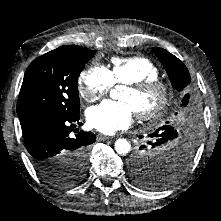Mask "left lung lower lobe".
<instances>
[{
	"label": "left lung lower lobe",
	"instance_id": "left-lung-lower-lobe-1",
	"mask_svg": "<svg viewBox=\"0 0 221 221\" xmlns=\"http://www.w3.org/2000/svg\"><path fill=\"white\" fill-rule=\"evenodd\" d=\"M198 128H199V123L198 121H194L191 126H190V131L192 133H196L198 131ZM172 133H177L176 130H168V128H165L164 130L161 131V133H159V135H163L165 138H172L174 137V135ZM188 153L190 154L191 156V152H192V148H188ZM130 162H131V165H134L136 161V159L134 157H131L130 161H129V166H130Z\"/></svg>",
	"mask_w": 221,
	"mask_h": 221
}]
</instances>
